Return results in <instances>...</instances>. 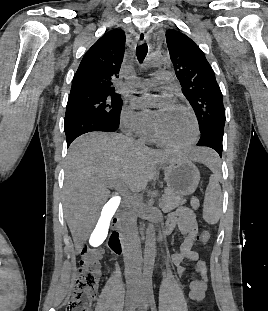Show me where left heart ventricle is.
I'll return each mask as SVG.
<instances>
[{"mask_svg": "<svg viewBox=\"0 0 268 311\" xmlns=\"http://www.w3.org/2000/svg\"><path fill=\"white\" fill-rule=\"evenodd\" d=\"M157 124L161 135L171 142H186L193 133L191 119L177 107L159 118Z\"/></svg>", "mask_w": 268, "mask_h": 311, "instance_id": "obj_1", "label": "left heart ventricle"}]
</instances>
